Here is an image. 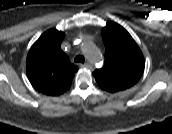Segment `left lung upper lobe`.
<instances>
[{
  "instance_id": "5c2ea615",
  "label": "left lung upper lobe",
  "mask_w": 172,
  "mask_h": 134,
  "mask_svg": "<svg viewBox=\"0 0 172 134\" xmlns=\"http://www.w3.org/2000/svg\"><path fill=\"white\" fill-rule=\"evenodd\" d=\"M102 37L105 64L93 72L97 84L111 93L130 88L139 81L144 71V56L140 48L118 24L104 27Z\"/></svg>"
}]
</instances>
